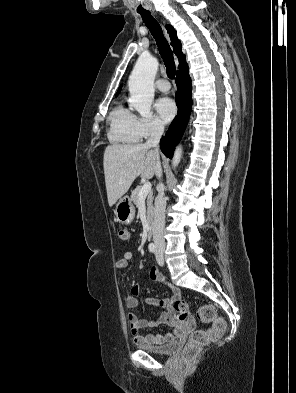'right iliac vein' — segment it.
<instances>
[{
	"instance_id": "63e3f726",
	"label": "right iliac vein",
	"mask_w": 296,
	"mask_h": 393,
	"mask_svg": "<svg viewBox=\"0 0 296 393\" xmlns=\"http://www.w3.org/2000/svg\"><path fill=\"white\" fill-rule=\"evenodd\" d=\"M159 251H161V252H162V251H163V248H160V249H159Z\"/></svg>"
}]
</instances>
